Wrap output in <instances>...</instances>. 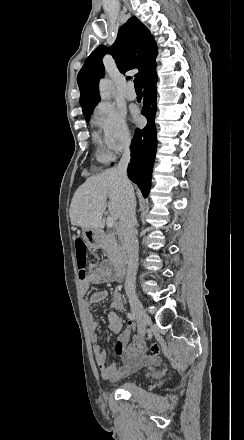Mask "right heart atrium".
<instances>
[{
  "instance_id": "d8ad5b80",
  "label": "right heart atrium",
  "mask_w": 244,
  "mask_h": 440,
  "mask_svg": "<svg viewBox=\"0 0 244 440\" xmlns=\"http://www.w3.org/2000/svg\"><path fill=\"white\" fill-rule=\"evenodd\" d=\"M92 123L101 132L106 157L121 153L129 145L131 136L125 114L111 103L101 101L95 106Z\"/></svg>"
}]
</instances>
